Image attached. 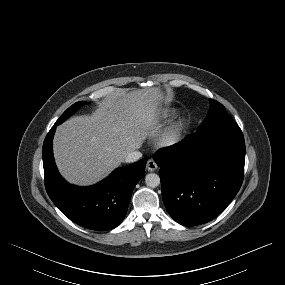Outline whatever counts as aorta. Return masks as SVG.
<instances>
[{
  "label": "aorta",
  "mask_w": 285,
  "mask_h": 285,
  "mask_svg": "<svg viewBox=\"0 0 285 285\" xmlns=\"http://www.w3.org/2000/svg\"><path fill=\"white\" fill-rule=\"evenodd\" d=\"M145 183L151 188H155L160 184V177L155 173L147 174L145 177Z\"/></svg>",
  "instance_id": "obj_1"
}]
</instances>
